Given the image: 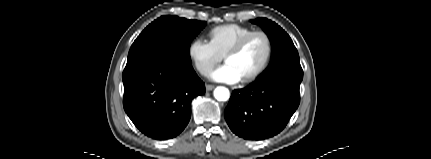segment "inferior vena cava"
I'll list each match as a JSON object with an SVG mask.
<instances>
[{"instance_id": "obj_1", "label": "inferior vena cava", "mask_w": 431, "mask_h": 159, "mask_svg": "<svg viewBox=\"0 0 431 159\" xmlns=\"http://www.w3.org/2000/svg\"><path fill=\"white\" fill-rule=\"evenodd\" d=\"M211 72V69L207 68L203 71L204 75H208Z\"/></svg>"}]
</instances>
